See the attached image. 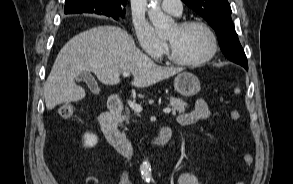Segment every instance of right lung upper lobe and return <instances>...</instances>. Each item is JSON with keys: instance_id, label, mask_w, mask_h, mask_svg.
<instances>
[{"instance_id": "right-lung-upper-lobe-1", "label": "right lung upper lobe", "mask_w": 293, "mask_h": 184, "mask_svg": "<svg viewBox=\"0 0 293 184\" xmlns=\"http://www.w3.org/2000/svg\"><path fill=\"white\" fill-rule=\"evenodd\" d=\"M127 0H65V14L124 12ZM107 16V15H106Z\"/></svg>"}]
</instances>
